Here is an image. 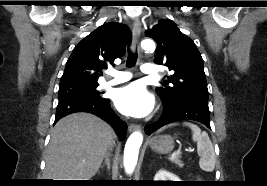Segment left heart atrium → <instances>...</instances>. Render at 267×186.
Here are the masks:
<instances>
[{
	"label": "left heart atrium",
	"mask_w": 267,
	"mask_h": 186,
	"mask_svg": "<svg viewBox=\"0 0 267 186\" xmlns=\"http://www.w3.org/2000/svg\"><path fill=\"white\" fill-rule=\"evenodd\" d=\"M114 102L124 115L142 118L154 108V97L140 82L130 83L115 92Z\"/></svg>",
	"instance_id": "39dd6f15"
}]
</instances>
